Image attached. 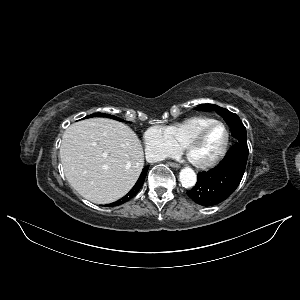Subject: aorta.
I'll use <instances>...</instances> for the list:
<instances>
[{
	"label": "aorta",
	"instance_id": "aorta-1",
	"mask_svg": "<svg viewBox=\"0 0 300 300\" xmlns=\"http://www.w3.org/2000/svg\"><path fill=\"white\" fill-rule=\"evenodd\" d=\"M179 179L183 187L192 188L197 181L195 172L191 168H183L180 171Z\"/></svg>",
	"mask_w": 300,
	"mask_h": 300
}]
</instances>
